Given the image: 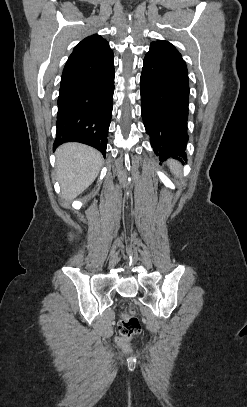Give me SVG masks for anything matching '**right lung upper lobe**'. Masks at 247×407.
Masks as SVG:
<instances>
[{
    "label": "right lung upper lobe",
    "instance_id": "obj_1",
    "mask_svg": "<svg viewBox=\"0 0 247 407\" xmlns=\"http://www.w3.org/2000/svg\"><path fill=\"white\" fill-rule=\"evenodd\" d=\"M113 56L109 43L100 35H91L78 43L63 70L61 84L78 78L109 57Z\"/></svg>",
    "mask_w": 247,
    "mask_h": 407
}]
</instances>
